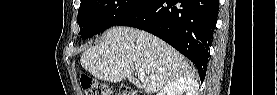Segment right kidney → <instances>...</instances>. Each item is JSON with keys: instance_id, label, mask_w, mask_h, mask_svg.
<instances>
[{"instance_id": "1", "label": "right kidney", "mask_w": 277, "mask_h": 95, "mask_svg": "<svg viewBox=\"0 0 277 95\" xmlns=\"http://www.w3.org/2000/svg\"><path fill=\"white\" fill-rule=\"evenodd\" d=\"M198 85L191 79L181 78L168 83L157 95H197Z\"/></svg>"}]
</instances>
